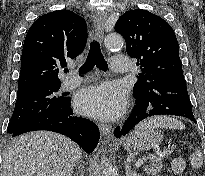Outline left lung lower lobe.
<instances>
[{
    "mask_svg": "<svg viewBox=\"0 0 205 176\" xmlns=\"http://www.w3.org/2000/svg\"><path fill=\"white\" fill-rule=\"evenodd\" d=\"M137 101L131 116L121 127L115 129V136L126 135L139 122L152 116L177 115L196 123L192 113L185 79L160 80L151 90L135 95Z\"/></svg>",
    "mask_w": 205,
    "mask_h": 176,
    "instance_id": "left-lung-lower-lobe-1",
    "label": "left lung lower lobe"
}]
</instances>
